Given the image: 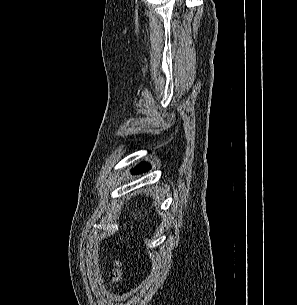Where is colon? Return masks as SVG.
Wrapping results in <instances>:
<instances>
[{
	"instance_id": "obj_1",
	"label": "colon",
	"mask_w": 297,
	"mask_h": 305,
	"mask_svg": "<svg viewBox=\"0 0 297 305\" xmlns=\"http://www.w3.org/2000/svg\"><path fill=\"white\" fill-rule=\"evenodd\" d=\"M122 275V264L120 262H117L115 268L110 274V285L117 284L121 280Z\"/></svg>"
}]
</instances>
